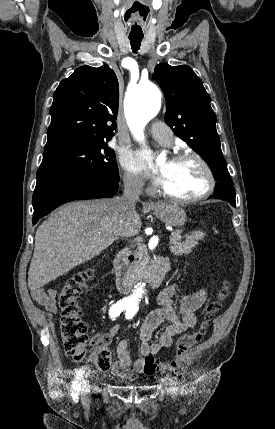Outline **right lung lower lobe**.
Instances as JSON below:
<instances>
[{
    "label": "right lung lower lobe",
    "mask_w": 275,
    "mask_h": 429,
    "mask_svg": "<svg viewBox=\"0 0 275 429\" xmlns=\"http://www.w3.org/2000/svg\"><path fill=\"white\" fill-rule=\"evenodd\" d=\"M118 182L100 176H73L35 188L33 224L58 206L73 200L109 198L118 192Z\"/></svg>",
    "instance_id": "98d812e1"
}]
</instances>
